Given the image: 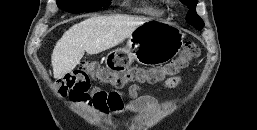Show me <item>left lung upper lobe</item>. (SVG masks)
<instances>
[{
	"instance_id": "left-lung-upper-lobe-1",
	"label": "left lung upper lobe",
	"mask_w": 257,
	"mask_h": 130,
	"mask_svg": "<svg viewBox=\"0 0 257 130\" xmlns=\"http://www.w3.org/2000/svg\"><path fill=\"white\" fill-rule=\"evenodd\" d=\"M182 2L185 3L190 10L186 16L187 22L192 26H194L196 29L201 30L204 26V22L196 14V11H195L198 0H182Z\"/></svg>"
}]
</instances>
